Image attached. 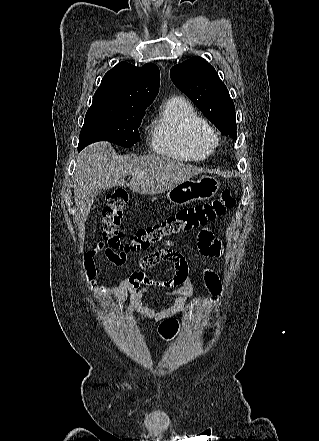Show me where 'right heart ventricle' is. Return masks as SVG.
Wrapping results in <instances>:
<instances>
[{
    "mask_svg": "<svg viewBox=\"0 0 319 441\" xmlns=\"http://www.w3.org/2000/svg\"><path fill=\"white\" fill-rule=\"evenodd\" d=\"M207 120L182 97L168 100L150 126L152 150L160 155L185 161L209 157L216 143Z\"/></svg>",
    "mask_w": 319,
    "mask_h": 441,
    "instance_id": "e07e8e85",
    "label": "right heart ventricle"
}]
</instances>
